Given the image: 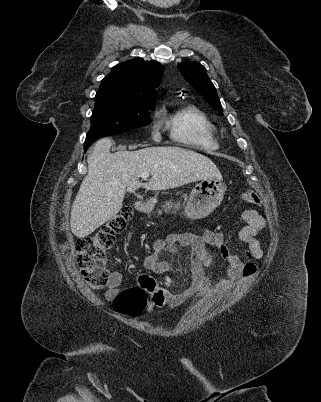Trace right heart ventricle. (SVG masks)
Masks as SVG:
<instances>
[{"mask_svg":"<svg viewBox=\"0 0 321 402\" xmlns=\"http://www.w3.org/2000/svg\"><path fill=\"white\" fill-rule=\"evenodd\" d=\"M162 124L177 143L203 150H215L219 147L215 125L195 105H186L164 116Z\"/></svg>","mask_w":321,"mask_h":402,"instance_id":"e07e8e85","label":"right heart ventricle"}]
</instances>
